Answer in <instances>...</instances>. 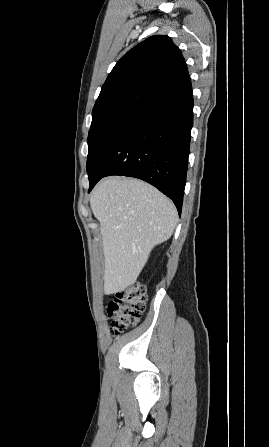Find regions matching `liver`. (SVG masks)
<instances>
[{"instance_id":"1","label":"liver","mask_w":269,"mask_h":447,"mask_svg":"<svg viewBox=\"0 0 269 447\" xmlns=\"http://www.w3.org/2000/svg\"><path fill=\"white\" fill-rule=\"evenodd\" d=\"M100 222L105 259L104 293L135 283L151 249L171 237L177 210L159 190L133 178H107L90 196Z\"/></svg>"}]
</instances>
